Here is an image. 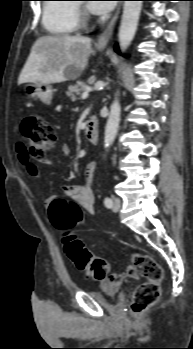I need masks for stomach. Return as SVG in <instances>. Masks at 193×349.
I'll list each match as a JSON object with an SVG mask.
<instances>
[{
    "mask_svg": "<svg viewBox=\"0 0 193 349\" xmlns=\"http://www.w3.org/2000/svg\"><path fill=\"white\" fill-rule=\"evenodd\" d=\"M23 89L27 97L39 99L45 104L51 103L53 90L50 84L27 83Z\"/></svg>",
    "mask_w": 193,
    "mask_h": 349,
    "instance_id": "stomach-1",
    "label": "stomach"
}]
</instances>
